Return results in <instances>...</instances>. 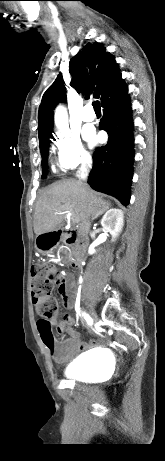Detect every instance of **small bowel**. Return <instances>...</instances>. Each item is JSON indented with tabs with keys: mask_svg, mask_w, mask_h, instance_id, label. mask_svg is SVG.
Instances as JSON below:
<instances>
[{
	"mask_svg": "<svg viewBox=\"0 0 165 461\" xmlns=\"http://www.w3.org/2000/svg\"><path fill=\"white\" fill-rule=\"evenodd\" d=\"M67 278L59 277L57 289L59 299H63V304L66 308L71 306L69 292L67 291ZM52 327L56 328L59 333H66L68 337L62 341H55L54 348H46L50 355L56 361L65 360L79 351L87 350L96 345L95 339H89L82 342L79 333L72 327L74 318L71 314H65L62 321H59L57 317L50 320Z\"/></svg>",
	"mask_w": 165,
	"mask_h": 461,
	"instance_id": "small-bowel-1",
	"label": "small bowel"
}]
</instances>
